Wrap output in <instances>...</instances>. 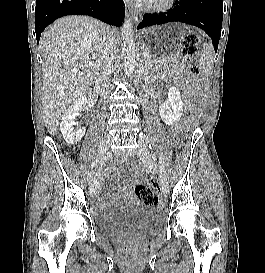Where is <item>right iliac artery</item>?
<instances>
[{"label":"right iliac artery","mask_w":265,"mask_h":273,"mask_svg":"<svg viewBox=\"0 0 265 273\" xmlns=\"http://www.w3.org/2000/svg\"><path fill=\"white\" fill-rule=\"evenodd\" d=\"M100 162V158L96 157L92 164H91V171L88 173L87 181L89 184L93 181V169L97 166V164Z\"/></svg>","instance_id":"82829eb1"}]
</instances>
